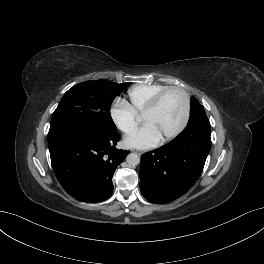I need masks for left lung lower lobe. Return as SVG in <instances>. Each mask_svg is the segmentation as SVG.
I'll use <instances>...</instances> for the list:
<instances>
[{
	"label": "left lung lower lobe",
	"mask_w": 264,
	"mask_h": 264,
	"mask_svg": "<svg viewBox=\"0 0 264 264\" xmlns=\"http://www.w3.org/2000/svg\"><path fill=\"white\" fill-rule=\"evenodd\" d=\"M187 125L178 138L141 156L140 189L153 203L171 202L199 178L211 148L210 125Z\"/></svg>",
	"instance_id": "0a47b994"
}]
</instances>
